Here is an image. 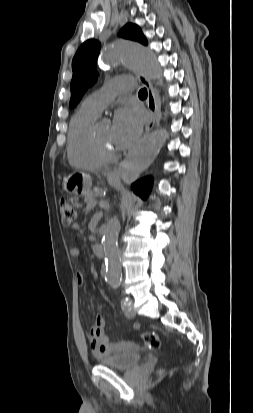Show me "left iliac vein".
I'll list each match as a JSON object with an SVG mask.
<instances>
[{
	"label": "left iliac vein",
	"instance_id": "obj_1",
	"mask_svg": "<svg viewBox=\"0 0 253 413\" xmlns=\"http://www.w3.org/2000/svg\"><path fill=\"white\" fill-rule=\"evenodd\" d=\"M124 314L128 318H133L136 315V312L133 307V301L129 300V305L123 308Z\"/></svg>",
	"mask_w": 253,
	"mask_h": 413
}]
</instances>
